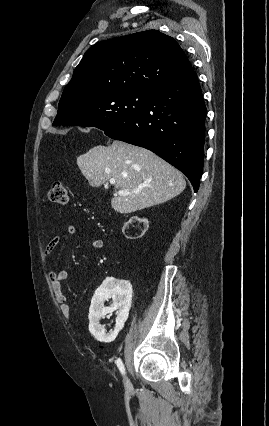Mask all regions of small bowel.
<instances>
[{
  "instance_id": "small-bowel-1",
  "label": "small bowel",
  "mask_w": 269,
  "mask_h": 426,
  "mask_svg": "<svg viewBox=\"0 0 269 426\" xmlns=\"http://www.w3.org/2000/svg\"><path fill=\"white\" fill-rule=\"evenodd\" d=\"M67 233L69 235H73L76 233V227L74 225H68L67 226ZM61 237L60 236H54L44 247V254L49 255L53 252V250L57 247V245L60 243ZM91 247L93 249H101L103 247V241L99 238H95L91 240ZM72 269V264H68L66 268L60 269V270H51L49 272V282L52 287V290L54 292V296L56 299V302L59 305L60 312L62 315L66 318H69L71 315L70 306L68 304V300L66 295L64 294L62 290V282L66 280L69 277L70 270Z\"/></svg>"
}]
</instances>
